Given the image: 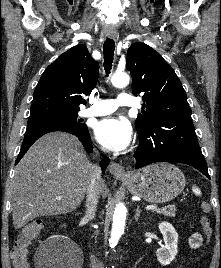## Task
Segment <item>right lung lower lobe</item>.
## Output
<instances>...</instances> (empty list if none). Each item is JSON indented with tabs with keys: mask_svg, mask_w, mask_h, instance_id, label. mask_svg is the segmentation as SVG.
I'll return each mask as SVG.
<instances>
[{
	"mask_svg": "<svg viewBox=\"0 0 221 268\" xmlns=\"http://www.w3.org/2000/svg\"><path fill=\"white\" fill-rule=\"evenodd\" d=\"M53 131H63V132H68L72 135H75L88 152H91L93 149L87 127L75 128V127H69V126L58 125V124H38V125L28 126L24 140L22 142L20 153L16 159L15 164H17L20 161L23 155L27 152V150L31 147V145L38 138H40L46 133L53 132ZM108 163H109L108 158L101 160L100 165H101L103 172L105 168L107 167Z\"/></svg>",
	"mask_w": 221,
	"mask_h": 268,
	"instance_id": "right-lung-lower-lobe-1",
	"label": "right lung lower lobe"
}]
</instances>
